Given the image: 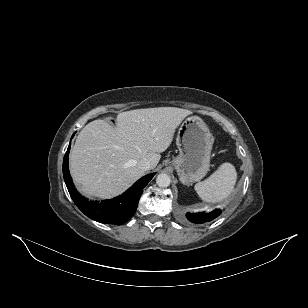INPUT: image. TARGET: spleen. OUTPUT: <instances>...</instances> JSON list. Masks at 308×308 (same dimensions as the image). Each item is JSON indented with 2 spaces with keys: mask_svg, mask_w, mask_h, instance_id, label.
<instances>
[{
  "mask_svg": "<svg viewBox=\"0 0 308 308\" xmlns=\"http://www.w3.org/2000/svg\"><path fill=\"white\" fill-rule=\"evenodd\" d=\"M236 181L235 167L231 163H223L209 178L198 182L194 188L203 201L217 203L232 194Z\"/></svg>",
  "mask_w": 308,
  "mask_h": 308,
  "instance_id": "obj_1",
  "label": "spleen"
}]
</instances>
